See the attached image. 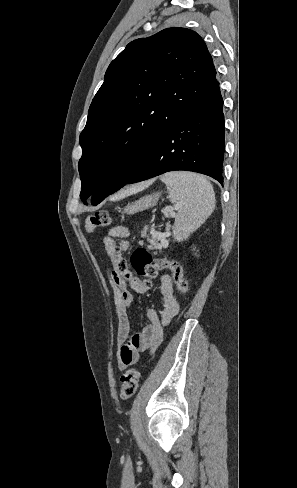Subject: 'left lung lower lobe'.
<instances>
[{
	"instance_id": "left-lung-lower-lobe-1",
	"label": "left lung lower lobe",
	"mask_w": 297,
	"mask_h": 488,
	"mask_svg": "<svg viewBox=\"0 0 297 488\" xmlns=\"http://www.w3.org/2000/svg\"><path fill=\"white\" fill-rule=\"evenodd\" d=\"M222 108L218 84L163 137L126 184L169 171L186 170L208 175L223 185L225 123Z\"/></svg>"
}]
</instances>
